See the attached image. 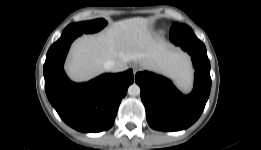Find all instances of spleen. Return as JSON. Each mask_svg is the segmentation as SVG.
<instances>
[{
	"label": "spleen",
	"mask_w": 261,
	"mask_h": 150,
	"mask_svg": "<svg viewBox=\"0 0 261 150\" xmlns=\"http://www.w3.org/2000/svg\"><path fill=\"white\" fill-rule=\"evenodd\" d=\"M177 84L183 90H188L190 87V74L186 71L179 77H175Z\"/></svg>",
	"instance_id": "3e777b00"
}]
</instances>
